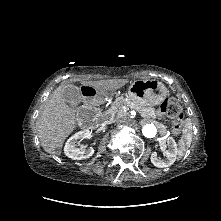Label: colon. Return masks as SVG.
Wrapping results in <instances>:
<instances>
[{
  "label": "colon",
  "mask_w": 221,
  "mask_h": 221,
  "mask_svg": "<svg viewBox=\"0 0 221 221\" xmlns=\"http://www.w3.org/2000/svg\"><path fill=\"white\" fill-rule=\"evenodd\" d=\"M159 112L161 114L169 116L174 120L172 125V131L174 134H179L181 131L182 120L184 117L179 102L175 98H167L161 103L159 107Z\"/></svg>",
  "instance_id": "1"
}]
</instances>
